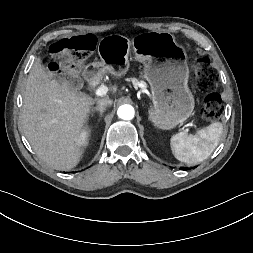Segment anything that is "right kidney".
<instances>
[{
  "mask_svg": "<svg viewBox=\"0 0 253 253\" xmlns=\"http://www.w3.org/2000/svg\"><path fill=\"white\" fill-rule=\"evenodd\" d=\"M86 136L88 135V131H85Z\"/></svg>",
  "mask_w": 253,
  "mask_h": 253,
  "instance_id": "1",
  "label": "right kidney"
}]
</instances>
